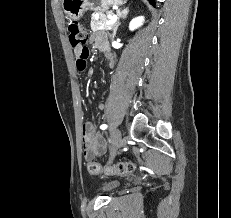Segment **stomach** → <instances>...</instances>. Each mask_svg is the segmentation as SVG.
<instances>
[{"instance_id":"obj_1","label":"stomach","mask_w":231,"mask_h":218,"mask_svg":"<svg viewBox=\"0 0 231 218\" xmlns=\"http://www.w3.org/2000/svg\"><path fill=\"white\" fill-rule=\"evenodd\" d=\"M125 0H62V7L66 17L79 20L87 9L105 12L113 5H122Z\"/></svg>"}]
</instances>
